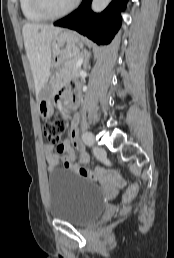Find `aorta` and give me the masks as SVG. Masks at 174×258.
<instances>
[{
  "label": "aorta",
  "mask_w": 174,
  "mask_h": 258,
  "mask_svg": "<svg viewBox=\"0 0 174 258\" xmlns=\"http://www.w3.org/2000/svg\"><path fill=\"white\" fill-rule=\"evenodd\" d=\"M111 0H92L91 9L96 13L102 12Z\"/></svg>",
  "instance_id": "obj_1"
}]
</instances>
